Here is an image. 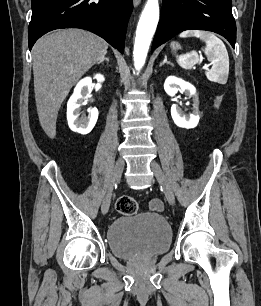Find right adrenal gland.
I'll return each mask as SVG.
<instances>
[{"label":"right adrenal gland","instance_id":"right-adrenal-gland-1","mask_svg":"<svg viewBox=\"0 0 261 306\" xmlns=\"http://www.w3.org/2000/svg\"><path fill=\"white\" fill-rule=\"evenodd\" d=\"M104 61H106L107 63H109V59L107 57H104L102 60H100L97 65H100L101 63H103Z\"/></svg>","mask_w":261,"mask_h":306}]
</instances>
